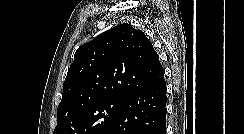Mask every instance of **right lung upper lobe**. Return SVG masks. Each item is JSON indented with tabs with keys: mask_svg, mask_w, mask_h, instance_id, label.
Listing matches in <instances>:
<instances>
[{
	"mask_svg": "<svg viewBox=\"0 0 244 134\" xmlns=\"http://www.w3.org/2000/svg\"><path fill=\"white\" fill-rule=\"evenodd\" d=\"M163 79L150 40L141 30L121 24L77 49L63 84L57 120L106 99H128Z\"/></svg>",
	"mask_w": 244,
	"mask_h": 134,
	"instance_id": "cb5924a9",
	"label": "right lung upper lobe"
}]
</instances>
